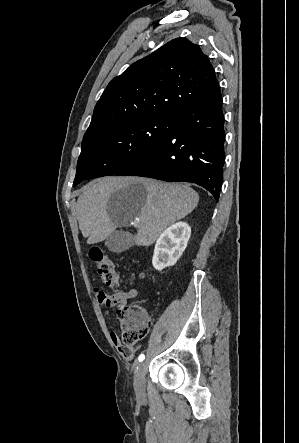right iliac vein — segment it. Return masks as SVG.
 <instances>
[{"mask_svg": "<svg viewBox=\"0 0 299 443\" xmlns=\"http://www.w3.org/2000/svg\"><path fill=\"white\" fill-rule=\"evenodd\" d=\"M145 374H146V364L142 362L137 367L135 373V381H134V389L138 399L145 398Z\"/></svg>", "mask_w": 299, "mask_h": 443, "instance_id": "63e3f726", "label": "right iliac vein"}]
</instances>
